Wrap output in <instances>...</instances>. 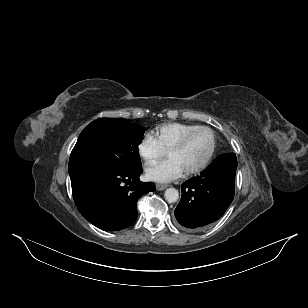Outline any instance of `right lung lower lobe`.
Segmentation results:
<instances>
[{
  "instance_id": "98d812e1",
  "label": "right lung lower lobe",
  "mask_w": 308,
  "mask_h": 308,
  "mask_svg": "<svg viewBox=\"0 0 308 308\" xmlns=\"http://www.w3.org/2000/svg\"><path fill=\"white\" fill-rule=\"evenodd\" d=\"M142 167L133 171L108 172L86 169L70 174L74 202L96 227L116 231L129 227L137 217V200L155 191L152 182L139 180Z\"/></svg>"
}]
</instances>
